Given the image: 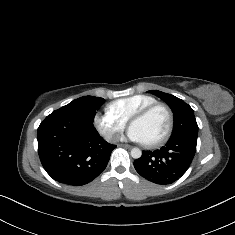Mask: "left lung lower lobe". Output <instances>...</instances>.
Listing matches in <instances>:
<instances>
[{
  "instance_id": "left-lung-lower-lobe-1",
  "label": "left lung lower lobe",
  "mask_w": 235,
  "mask_h": 235,
  "mask_svg": "<svg viewBox=\"0 0 235 235\" xmlns=\"http://www.w3.org/2000/svg\"><path fill=\"white\" fill-rule=\"evenodd\" d=\"M197 139L187 136L170 138L160 150L143 151L134 161L136 171L156 184H170L189 168L195 152Z\"/></svg>"
}]
</instances>
